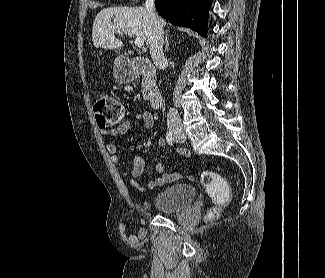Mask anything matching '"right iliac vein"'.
I'll use <instances>...</instances> for the list:
<instances>
[{
	"label": "right iliac vein",
	"instance_id": "1",
	"mask_svg": "<svg viewBox=\"0 0 325 278\" xmlns=\"http://www.w3.org/2000/svg\"><path fill=\"white\" fill-rule=\"evenodd\" d=\"M172 133L175 136L181 137L184 135V130L182 128H171Z\"/></svg>",
	"mask_w": 325,
	"mask_h": 278
}]
</instances>
